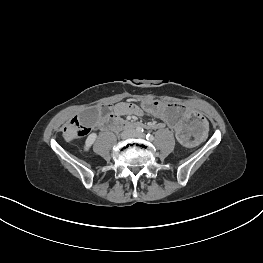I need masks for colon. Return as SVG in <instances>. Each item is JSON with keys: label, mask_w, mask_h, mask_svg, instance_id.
<instances>
[{"label": "colon", "mask_w": 263, "mask_h": 263, "mask_svg": "<svg viewBox=\"0 0 263 263\" xmlns=\"http://www.w3.org/2000/svg\"><path fill=\"white\" fill-rule=\"evenodd\" d=\"M111 109L112 107L110 104H105L101 107V113L103 115H107L108 113H110ZM67 130L72 131V133L76 137H82L88 133V128L81 124L77 119H73L70 122Z\"/></svg>", "instance_id": "colon-1"}]
</instances>
